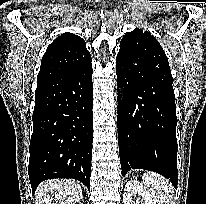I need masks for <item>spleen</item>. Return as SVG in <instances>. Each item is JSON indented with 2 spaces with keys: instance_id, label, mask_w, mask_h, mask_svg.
<instances>
[{
  "instance_id": "3e777b00",
  "label": "spleen",
  "mask_w": 206,
  "mask_h": 204,
  "mask_svg": "<svg viewBox=\"0 0 206 204\" xmlns=\"http://www.w3.org/2000/svg\"><path fill=\"white\" fill-rule=\"evenodd\" d=\"M143 183L158 204H172L173 186L165 177L148 171L142 176Z\"/></svg>"
}]
</instances>
